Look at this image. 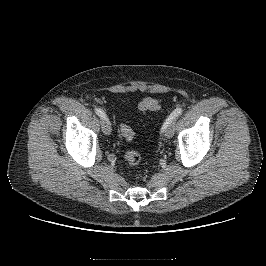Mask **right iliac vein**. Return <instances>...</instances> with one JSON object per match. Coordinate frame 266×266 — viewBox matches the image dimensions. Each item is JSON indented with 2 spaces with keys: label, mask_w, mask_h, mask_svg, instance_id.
I'll return each instance as SVG.
<instances>
[{
  "label": "right iliac vein",
  "mask_w": 266,
  "mask_h": 266,
  "mask_svg": "<svg viewBox=\"0 0 266 266\" xmlns=\"http://www.w3.org/2000/svg\"><path fill=\"white\" fill-rule=\"evenodd\" d=\"M101 128L105 135H110L111 133V125L108 118H102L101 120Z\"/></svg>",
  "instance_id": "63e3f726"
}]
</instances>
